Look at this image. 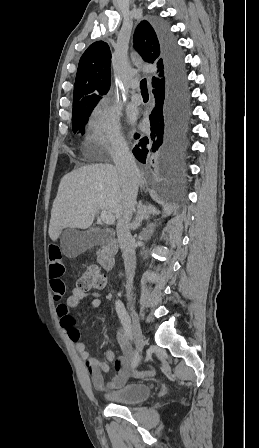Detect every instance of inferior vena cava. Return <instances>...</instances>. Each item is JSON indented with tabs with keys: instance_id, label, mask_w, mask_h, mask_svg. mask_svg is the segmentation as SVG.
<instances>
[{
	"instance_id": "1",
	"label": "inferior vena cava",
	"mask_w": 259,
	"mask_h": 448,
	"mask_svg": "<svg viewBox=\"0 0 259 448\" xmlns=\"http://www.w3.org/2000/svg\"><path fill=\"white\" fill-rule=\"evenodd\" d=\"M113 162L118 170L123 192V214L120 216L116 228L119 246L122 250L126 278L127 296L131 292L136 268L135 242L130 234V220L135 210L140 174L135 160L126 142H119L113 154Z\"/></svg>"
}]
</instances>
